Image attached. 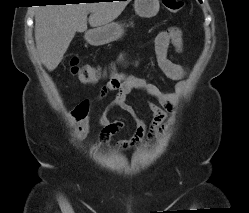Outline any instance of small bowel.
Here are the masks:
<instances>
[{"mask_svg": "<svg viewBox=\"0 0 249 213\" xmlns=\"http://www.w3.org/2000/svg\"><path fill=\"white\" fill-rule=\"evenodd\" d=\"M171 46L177 52H180L183 47L182 32L175 26L161 31L154 39L158 67L166 76L179 81L175 92H164L156 84L143 78L128 75L122 71H116L109 76L107 83L100 90L99 98H104L111 91H118V93L114 100L99 115V123L102 126L99 135L101 144L106 146L109 138L113 134L120 132L125 126L123 120H110L109 113L115 108L121 109L131 115L136 123L134 135L128 140H121L119 142L118 146L123 149L134 147L141 142L148 143L152 141L158 135L162 134L166 126L173 121V118L166 120V114L167 112H172L174 109L178 97L185 87L184 79L188 74V70L186 67L176 64L168 58ZM119 63L122 67L131 63L128 54H123L119 59ZM133 91L142 92L157 101V103H148L149 109L153 114L148 129L145 122L137 115L134 107L127 101ZM90 107L91 101L84 100L72 111L73 117L81 126L82 134H85L89 127L88 114Z\"/></svg>", "mask_w": 249, "mask_h": 213, "instance_id": "1", "label": "small bowel"}]
</instances>
